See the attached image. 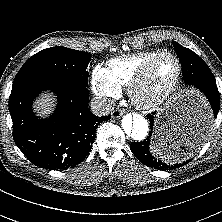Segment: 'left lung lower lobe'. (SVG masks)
<instances>
[{
	"label": "left lung lower lobe",
	"mask_w": 222,
	"mask_h": 222,
	"mask_svg": "<svg viewBox=\"0 0 222 222\" xmlns=\"http://www.w3.org/2000/svg\"><path fill=\"white\" fill-rule=\"evenodd\" d=\"M182 65V72L185 84L193 86L194 88L200 90L206 98L208 99L213 114L209 113V115L205 118H197L191 123H189L185 128L179 132V134L173 138V147L175 153H183L187 154L190 152H195V150L199 149L207 140L208 133L211 129L212 119L217 118V114L219 111V91L216 85L205 84L197 80L199 77L200 69L196 63H191L187 60L180 61ZM156 115V111L152 112V114L147 115L150 120V133L149 136L142 142H133L130 144L131 151L143 164L154 167L160 170H170L177 167H181L187 164L190 160L183 162L182 164H176L174 166L167 165L166 163H162L161 166H157L156 159L152 156L149 151V145L151 141V137L153 134V126H154V117ZM158 162V161H157ZM160 162V161H159Z\"/></svg>",
	"instance_id": "left-lung-lower-lobe-1"
}]
</instances>
